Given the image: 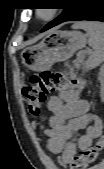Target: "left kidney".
I'll return each instance as SVG.
<instances>
[{
  "mask_svg": "<svg viewBox=\"0 0 104 169\" xmlns=\"http://www.w3.org/2000/svg\"><path fill=\"white\" fill-rule=\"evenodd\" d=\"M99 75H100L99 77H100L101 83H103V70H101ZM100 94H101V96H103V88H101Z\"/></svg>",
  "mask_w": 104,
  "mask_h": 169,
  "instance_id": "5707ae66",
  "label": "left kidney"
}]
</instances>
